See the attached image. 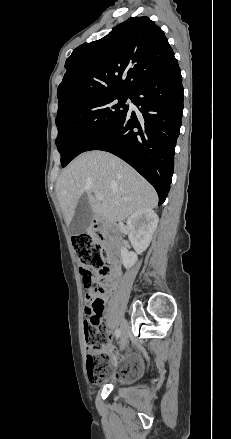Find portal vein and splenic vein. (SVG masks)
<instances>
[{
	"label": "portal vein and splenic vein",
	"instance_id": "portal-vein-and-splenic-vein-1",
	"mask_svg": "<svg viewBox=\"0 0 231 439\" xmlns=\"http://www.w3.org/2000/svg\"><path fill=\"white\" fill-rule=\"evenodd\" d=\"M95 198H96L97 200H103V199H104V195L101 194V193H97V194L95 195Z\"/></svg>",
	"mask_w": 231,
	"mask_h": 439
}]
</instances>
